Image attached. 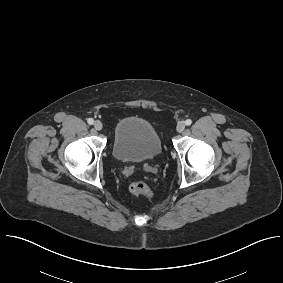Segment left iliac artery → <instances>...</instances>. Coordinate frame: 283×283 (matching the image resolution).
I'll list each match as a JSON object with an SVG mask.
<instances>
[{
	"instance_id": "44dca946",
	"label": "left iliac artery",
	"mask_w": 283,
	"mask_h": 283,
	"mask_svg": "<svg viewBox=\"0 0 283 283\" xmlns=\"http://www.w3.org/2000/svg\"><path fill=\"white\" fill-rule=\"evenodd\" d=\"M185 124H186L187 126L191 125V124H192L191 119H187V120L185 121Z\"/></svg>"
}]
</instances>
